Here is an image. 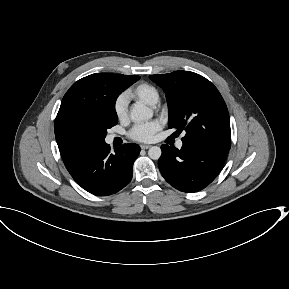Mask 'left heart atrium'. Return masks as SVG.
I'll return each instance as SVG.
<instances>
[{
  "mask_svg": "<svg viewBox=\"0 0 289 289\" xmlns=\"http://www.w3.org/2000/svg\"><path fill=\"white\" fill-rule=\"evenodd\" d=\"M160 129L156 121L135 125L129 132V137L139 142H149L154 138L155 133Z\"/></svg>",
  "mask_w": 289,
  "mask_h": 289,
  "instance_id": "left-heart-atrium-1",
  "label": "left heart atrium"
}]
</instances>
